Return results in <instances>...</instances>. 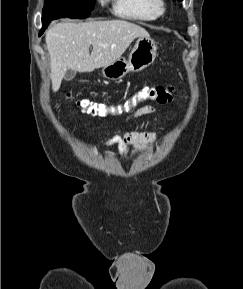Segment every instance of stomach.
Returning <instances> with one entry per match:
<instances>
[{
	"mask_svg": "<svg viewBox=\"0 0 243 289\" xmlns=\"http://www.w3.org/2000/svg\"><path fill=\"white\" fill-rule=\"evenodd\" d=\"M156 55L155 41L149 35L140 36L128 58L121 57L110 65L104 66L102 74L107 79H121L129 72H139L147 68L154 62Z\"/></svg>",
	"mask_w": 243,
	"mask_h": 289,
	"instance_id": "stomach-1",
	"label": "stomach"
}]
</instances>
